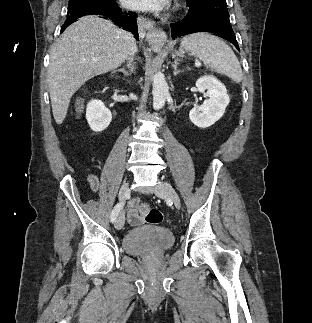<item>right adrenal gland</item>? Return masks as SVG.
Masks as SVG:
<instances>
[{
  "label": "right adrenal gland",
  "mask_w": 312,
  "mask_h": 323,
  "mask_svg": "<svg viewBox=\"0 0 312 323\" xmlns=\"http://www.w3.org/2000/svg\"><path fill=\"white\" fill-rule=\"evenodd\" d=\"M128 66H130V64H128ZM116 72H122V74H124V76H131V74H129V72H126V70H124V68H121V70H116Z\"/></svg>",
  "instance_id": "right-adrenal-gland-1"
}]
</instances>
